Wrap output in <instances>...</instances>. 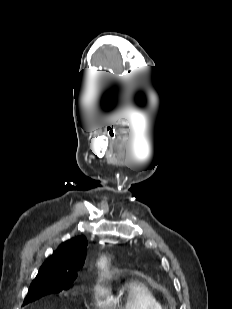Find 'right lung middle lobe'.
I'll return each instance as SVG.
<instances>
[{
  "label": "right lung middle lobe",
  "mask_w": 232,
  "mask_h": 309,
  "mask_svg": "<svg viewBox=\"0 0 232 309\" xmlns=\"http://www.w3.org/2000/svg\"><path fill=\"white\" fill-rule=\"evenodd\" d=\"M71 280H50L47 278L36 279L32 282L28 294L25 297L24 305L36 301L50 293H58L63 289H68Z\"/></svg>",
  "instance_id": "right-lung-middle-lobe-1"
}]
</instances>
